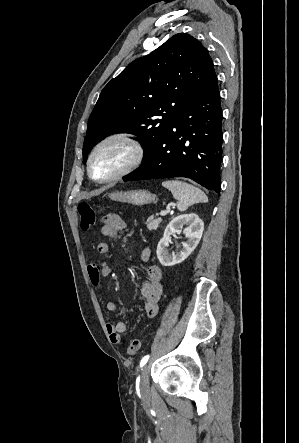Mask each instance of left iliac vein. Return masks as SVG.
<instances>
[{
    "instance_id": "left-iliac-vein-1",
    "label": "left iliac vein",
    "mask_w": 299,
    "mask_h": 443,
    "mask_svg": "<svg viewBox=\"0 0 299 443\" xmlns=\"http://www.w3.org/2000/svg\"><path fill=\"white\" fill-rule=\"evenodd\" d=\"M140 392L146 396L149 394V368L145 365L140 376Z\"/></svg>"
}]
</instances>
